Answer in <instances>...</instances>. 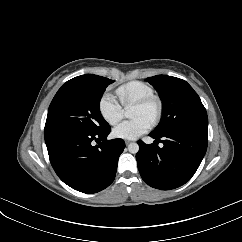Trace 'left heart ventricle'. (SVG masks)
I'll return each instance as SVG.
<instances>
[{"label":"left heart ventricle","mask_w":242,"mask_h":242,"mask_svg":"<svg viewBox=\"0 0 242 242\" xmlns=\"http://www.w3.org/2000/svg\"><path fill=\"white\" fill-rule=\"evenodd\" d=\"M131 117L133 118L143 117L151 122L153 118V109L150 107L142 108V107L134 106L132 108Z\"/></svg>","instance_id":"1"}]
</instances>
